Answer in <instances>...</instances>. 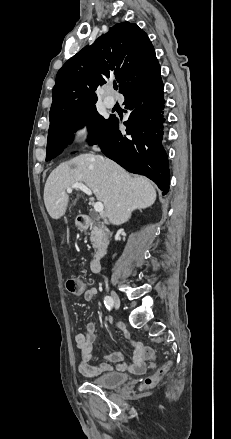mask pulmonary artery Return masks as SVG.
Returning <instances> with one entry per match:
<instances>
[{"instance_id": "e3ab8cb5", "label": "pulmonary artery", "mask_w": 231, "mask_h": 439, "mask_svg": "<svg viewBox=\"0 0 231 439\" xmlns=\"http://www.w3.org/2000/svg\"><path fill=\"white\" fill-rule=\"evenodd\" d=\"M104 104L107 108H113L115 106V100L110 97L104 99Z\"/></svg>"}]
</instances>
